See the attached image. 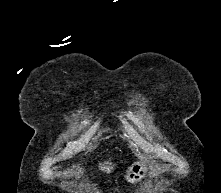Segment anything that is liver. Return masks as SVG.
Listing matches in <instances>:
<instances>
[{
  "label": "liver",
  "instance_id": "liver-1",
  "mask_svg": "<svg viewBox=\"0 0 221 193\" xmlns=\"http://www.w3.org/2000/svg\"><path fill=\"white\" fill-rule=\"evenodd\" d=\"M114 165L111 162H105L104 164H99V168L102 171L110 173L113 169Z\"/></svg>",
  "mask_w": 221,
  "mask_h": 193
}]
</instances>
